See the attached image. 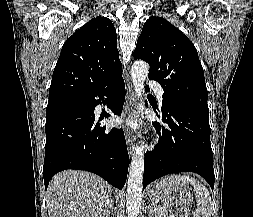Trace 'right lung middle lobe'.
Listing matches in <instances>:
<instances>
[{
    "label": "right lung middle lobe",
    "mask_w": 253,
    "mask_h": 217,
    "mask_svg": "<svg viewBox=\"0 0 253 217\" xmlns=\"http://www.w3.org/2000/svg\"><path fill=\"white\" fill-rule=\"evenodd\" d=\"M52 104H54V103H48V105H52Z\"/></svg>",
    "instance_id": "right-lung-middle-lobe-1"
}]
</instances>
